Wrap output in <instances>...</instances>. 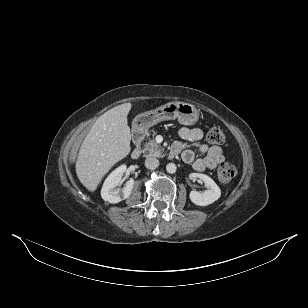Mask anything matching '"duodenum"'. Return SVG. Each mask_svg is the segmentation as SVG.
Returning <instances> with one entry per match:
<instances>
[{
	"label": "duodenum",
	"mask_w": 308,
	"mask_h": 308,
	"mask_svg": "<svg viewBox=\"0 0 308 308\" xmlns=\"http://www.w3.org/2000/svg\"><path fill=\"white\" fill-rule=\"evenodd\" d=\"M146 129L143 125H137L134 128L133 131V141L136 144V147L131 152V158L132 159H138L141 156V149L139 147L140 142L142 141L144 135H145ZM178 150L176 146L173 144L170 149V155L175 156L177 154Z\"/></svg>",
	"instance_id": "obj_1"
}]
</instances>
